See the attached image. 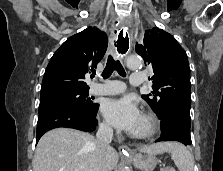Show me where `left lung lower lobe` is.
Segmentation results:
<instances>
[{
  "instance_id": "left-lung-lower-lobe-1",
  "label": "left lung lower lobe",
  "mask_w": 223,
  "mask_h": 171,
  "mask_svg": "<svg viewBox=\"0 0 223 171\" xmlns=\"http://www.w3.org/2000/svg\"><path fill=\"white\" fill-rule=\"evenodd\" d=\"M161 120V137L159 141H178L190 145V116L180 110L168 111Z\"/></svg>"
}]
</instances>
